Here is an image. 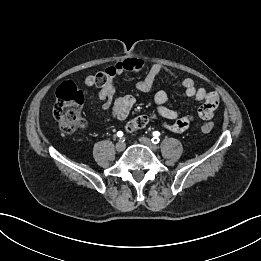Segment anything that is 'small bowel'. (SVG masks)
Masks as SVG:
<instances>
[{
  "label": "small bowel",
  "instance_id": "1",
  "mask_svg": "<svg viewBox=\"0 0 261 261\" xmlns=\"http://www.w3.org/2000/svg\"><path fill=\"white\" fill-rule=\"evenodd\" d=\"M144 66L145 63L142 59L131 57L121 60L103 71L107 80L106 83L100 87L98 97L104 102L103 108L111 111V116L107 121L111 119H125L136 102L135 97L130 94L115 97L114 78L126 72L138 73ZM163 73L174 76V74L168 71L162 64H151L145 77L136 83V89L140 92L151 91L156 78ZM180 84L184 89L186 97L203 102L198 110V116L203 120L212 119L218 106L217 93L208 92L202 87H197L194 80L189 77L182 78ZM85 85L87 87L94 86L93 76H88L85 79ZM168 101L169 96L165 91H158L154 95V102L158 114L163 119L172 121V123L164 122V127L174 133L186 131L194 121V116L192 114L180 116L176 110L167 106Z\"/></svg>",
  "mask_w": 261,
  "mask_h": 261
}]
</instances>
